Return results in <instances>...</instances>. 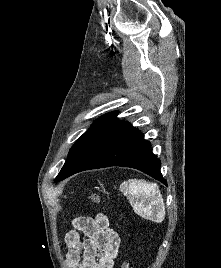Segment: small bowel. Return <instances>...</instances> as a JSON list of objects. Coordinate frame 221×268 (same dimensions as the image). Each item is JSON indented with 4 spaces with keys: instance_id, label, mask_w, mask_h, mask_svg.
I'll return each instance as SVG.
<instances>
[{
    "instance_id": "obj_1",
    "label": "small bowel",
    "mask_w": 221,
    "mask_h": 268,
    "mask_svg": "<svg viewBox=\"0 0 221 268\" xmlns=\"http://www.w3.org/2000/svg\"><path fill=\"white\" fill-rule=\"evenodd\" d=\"M65 236L68 268H113L120 237L104 213L79 216Z\"/></svg>"
}]
</instances>
